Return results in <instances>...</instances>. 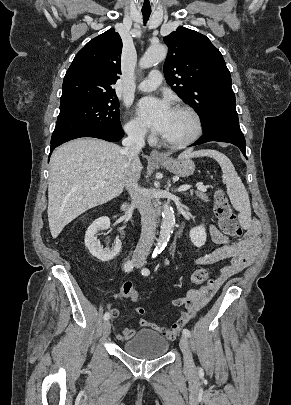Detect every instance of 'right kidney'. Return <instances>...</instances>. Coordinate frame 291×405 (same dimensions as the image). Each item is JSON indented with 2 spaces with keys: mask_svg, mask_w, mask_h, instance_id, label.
Wrapping results in <instances>:
<instances>
[{
  "mask_svg": "<svg viewBox=\"0 0 291 405\" xmlns=\"http://www.w3.org/2000/svg\"><path fill=\"white\" fill-rule=\"evenodd\" d=\"M110 227V219L106 216L96 219L87 229L85 234V246L89 249V252L102 262L112 260L121 250V241L119 238L115 239L114 247L111 249L103 248L100 240L97 239V233L101 230L108 229Z\"/></svg>",
  "mask_w": 291,
  "mask_h": 405,
  "instance_id": "1",
  "label": "right kidney"
}]
</instances>
